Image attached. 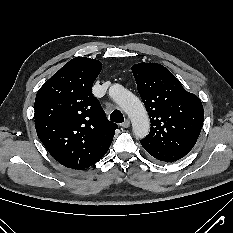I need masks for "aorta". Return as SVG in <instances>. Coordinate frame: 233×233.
<instances>
[{"instance_id":"1","label":"aorta","mask_w":233,"mask_h":233,"mask_svg":"<svg viewBox=\"0 0 233 233\" xmlns=\"http://www.w3.org/2000/svg\"><path fill=\"white\" fill-rule=\"evenodd\" d=\"M109 94L130 118L134 135L140 139L147 136L150 129V121L139 98L119 84L111 86Z\"/></svg>"}]
</instances>
